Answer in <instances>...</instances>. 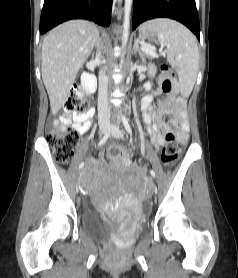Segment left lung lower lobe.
Returning a JSON list of instances; mask_svg holds the SVG:
<instances>
[{"instance_id": "left-lung-lower-lobe-1", "label": "left lung lower lobe", "mask_w": 238, "mask_h": 278, "mask_svg": "<svg viewBox=\"0 0 238 278\" xmlns=\"http://www.w3.org/2000/svg\"><path fill=\"white\" fill-rule=\"evenodd\" d=\"M160 17L183 23L200 40V24L195 0H134L133 30L146 20Z\"/></svg>"}]
</instances>
